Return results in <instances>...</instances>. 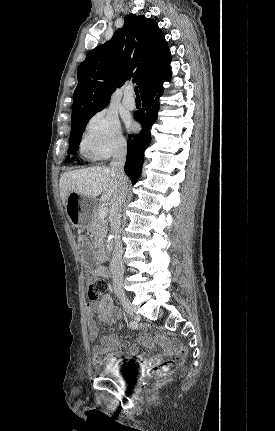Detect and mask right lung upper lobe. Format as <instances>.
I'll list each match as a JSON object with an SVG mask.
<instances>
[{
	"mask_svg": "<svg viewBox=\"0 0 275 431\" xmlns=\"http://www.w3.org/2000/svg\"><path fill=\"white\" fill-rule=\"evenodd\" d=\"M171 54L154 19L129 14L112 39L91 50L77 71L72 123L105 108L116 87L133 80L140 94L170 72Z\"/></svg>",
	"mask_w": 275,
	"mask_h": 431,
	"instance_id": "cb5924a9",
	"label": "right lung upper lobe"
}]
</instances>
